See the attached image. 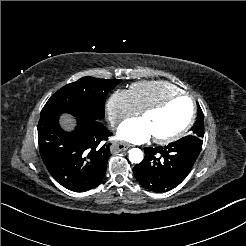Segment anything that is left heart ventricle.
<instances>
[{"instance_id":"left-heart-ventricle-1","label":"left heart ventricle","mask_w":246,"mask_h":246,"mask_svg":"<svg viewBox=\"0 0 246 246\" xmlns=\"http://www.w3.org/2000/svg\"><path fill=\"white\" fill-rule=\"evenodd\" d=\"M191 104L187 98H177L162 110L150 112L142 121L153 137H166L178 131L187 121Z\"/></svg>"}]
</instances>
